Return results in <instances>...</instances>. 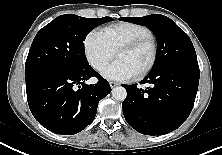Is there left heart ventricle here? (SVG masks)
Instances as JSON below:
<instances>
[{"mask_svg":"<svg viewBox=\"0 0 222 155\" xmlns=\"http://www.w3.org/2000/svg\"><path fill=\"white\" fill-rule=\"evenodd\" d=\"M152 56V48L149 44H145L133 51H123L117 54V59L124 61L134 72H140L150 61Z\"/></svg>","mask_w":222,"mask_h":155,"instance_id":"obj_1","label":"left heart ventricle"}]
</instances>
